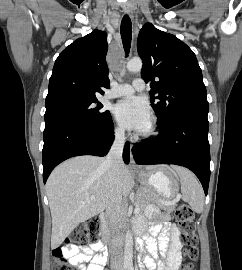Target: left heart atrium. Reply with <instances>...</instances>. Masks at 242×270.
Segmentation results:
<instances>
[{
  "mask_svg": "<svg viewBox=\"0 0 242 270\" xmlns=\"http://www.w3.org/2000/svg\"><path fill=\"white\" fill-rule=\"evenodd\" d=\"M116 119L126 128L143 131L150 123V108L138 97H128L119 101L113 108Z\"/></svg>",
  "mask_w": 242,
  "mask_h": 270,
  "instance_id": "1",
  "label": "left heart atrium"
}]
</instances>
